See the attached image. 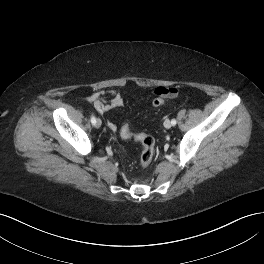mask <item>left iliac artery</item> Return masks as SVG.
I'll return each mask as SVG.
<instances>
[{"instance_id": "obj_1", "label": "left iliac artery", "mask_w": 264, "mask_h": 264, "mask_svg": "<svg viewBox=\"0 0 264 264\" xmlns=\"http://www.w3.org/2000/svg\"><path fill=\"white\" fill-rule=\"evenodd\" d=\"M176 123H177V122H176L175 119H172V120H171V124H172L173 126L176 125Z\"/></svg>"}]
</instances>
